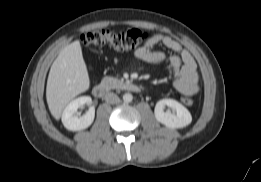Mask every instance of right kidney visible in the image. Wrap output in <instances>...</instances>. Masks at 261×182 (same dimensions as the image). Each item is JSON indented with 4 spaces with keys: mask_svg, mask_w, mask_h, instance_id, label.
Wrapping results in <instances>:
<instances>
[{
    "mask_svg": "<svg viewBox=\"0 0 261 182\" xmlns=\"http://www.w3.org/2000/svg\"><path fill=\"white\" fill-rule=\"evenodd\" d=\"M90 96H81L72 100L62 113V123L70 131H80L88 128L94 121L95 109L90 107L89 110L81 117H78V108L84 105H91Z\"/></svg>",
    "mask_w": 261,
    "mask_h": 182,
    "instance_id": "right-kidney-1",
    "label": "right kidney"
}]
</instances>
